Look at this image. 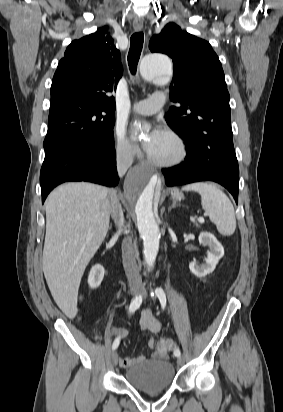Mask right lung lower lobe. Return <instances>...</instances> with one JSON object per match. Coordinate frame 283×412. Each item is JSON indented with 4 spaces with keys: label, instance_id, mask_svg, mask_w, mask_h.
I'll return each instance as SVG.
<instances>
[{
    "label": "right lung lower lobe",
    "instance_id": "obj_1",
    "mask_svg": "<svg viewBox=\"0 0 283 412\" xmlns=\"http://www.w3.org/2000/svg\"><path fill=\"white\" fill-rule=\"evenodd\" d=\"M115 158L114 146L66 145L46 152L40 173L42 203L54 187L67 181L117 185Z\"/></svg>",
    "mask_w": 283,
    "mask_h": 412
}]
</instances>
